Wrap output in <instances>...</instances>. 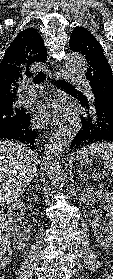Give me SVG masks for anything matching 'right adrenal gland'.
<instances>
[{
  "instance_id": "2a0ac1e0",
  "label": "right adrenal gland",
  "mask_w": 113,
  "mask_h": 279,
  "mask_svg": "<svg viewBox=\"0 0 113 279\" xmlns=\"http://www.w3.org/2000/svg\"><path fill=\"white\" fill-rule=\"evenodd\" d=\"M37 178H38V174L35 173L34 177H33V182H36L37 181Z\"/></svg>"
}]
</instances>
